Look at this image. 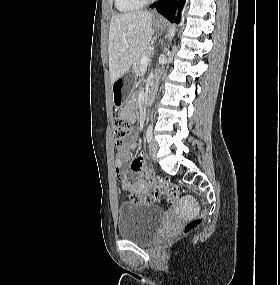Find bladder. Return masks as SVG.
Listing matches in <instances>:
<instances>
[{
  "label": "bladder",
  "mask_w": 280,
  "mask_h": 285,
  "mask_svg": "<svg viewBox=\"0 0 280 285\" xmlns=\"http://www.w3.org/2000/svg\"><path fill=\"white\" fill-rule=\"evenodd\" d=\"M164 211L145 203L120 204L117 214L119 237L139 243L151 242L159 233Z\"/></svg>",
  "instance_id": "bladder-1"
}]
</instances>
